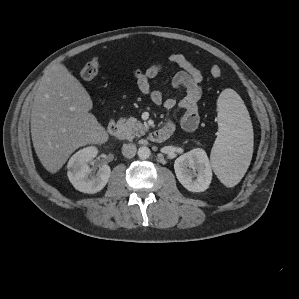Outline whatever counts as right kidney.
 Wrapping results in <instances>:
<instances>
[{"label":"right kidney","instance_id":"ca27d5eb","mask_svg":"<svg viewBox=\"0 0 299 299\" xmlns=\"http://www.w3.org/2000/svg\"><path fill=\"white\" fill-rule=\"evenodd\" d=\"M97 154L98 149L95 146H89L77 151L70 158L67 164V176L76 190L94 194L101 191L107 184L111 174L110 167L100 164L98 173L94 175L89 166Z\"/></svg>","mask_w":299,"mask_h":299}]
</instances>
